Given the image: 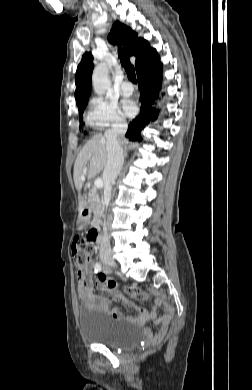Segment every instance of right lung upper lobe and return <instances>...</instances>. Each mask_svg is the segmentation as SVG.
<instances>
[{"mask_svg": "<svg viewBox=\"0 0 252 390\" xmlns=\"http://www.w3.org/2000/svg\"><path fill=\"white\" fill-rule=\"evenodd\" d=\"M108 40L113 44H122L129 56H136L135 66L137 75L145 69L161 64L156 50L151 48L146 40L138 38L137 33L130 27L125 26L119 21L114 23ZM92 60L91 53H85L77 68L75 76V98L78 108L86 106L88 102L91 89V75L94 68Z\"/></svg>", "mask_w": 252, "mask_h": 390, "instance_id": "1", "label": "right lung upper lobe"}]
</instances>
